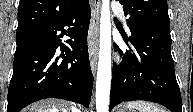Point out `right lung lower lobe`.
I'll return each instance as SVG.
<instances>
[{
  "label": "right lung lower lobe",
  "mask_w": 193,
  "mask_h": 112,
  "mask_svg": "<svg viewBox=\"0 0 193 112\" xmlns=\"http://www.w3.org/2000/svg\"><path fill=\"white\" fill-rule=\"evenodd\" d=\"M90 14L86 0L64 17L16 38L7 112H19L45 98L89 106L93 86L87 48ZM65 34L74 39L66 41L68 46L60 42Z\"/></svg>",
  "instance_id": "98d812e1"
}]
</instances>
